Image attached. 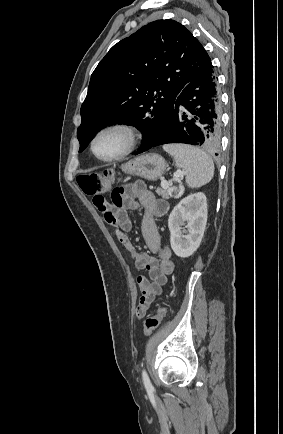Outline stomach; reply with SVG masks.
Listing matches in <instances>:
<instances>
[{"label": "stomach", "mask_w": 283, "mask_h": 434, "mask_svg": "<svg viewBox=\"0 0 283 434\" xmlns=\"http://www.w3.org/2000/svg\"><path fill=\"white\" fill-rule=\"evenodd\" d=\"M166 167V161L162 156L149 153L127 162L121 169L125 173L155 181L164 174Z\"/></svg>", "instance_id": "stomach-1"}]
</instances>
